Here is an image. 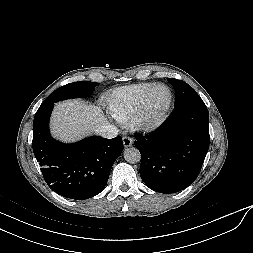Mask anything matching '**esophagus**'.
Here are the masks:
<instances>
[{"mask_svg": "<svg viewBox=\"0 0 253 253\" xmlns=\"http://www.w3.org/2000/svg\"><path fill=\"white\" fill-rule=\"evenodd\" d=\"M132 143H133L132 138L127 137V136L123 137V145H124V147H130L132 145Z\"/></svg>", "mask_w": 253, "mask_h": 253, "instance_id": "34e87169", "label": "esophagus"}]
</instances>
